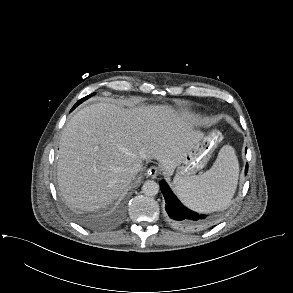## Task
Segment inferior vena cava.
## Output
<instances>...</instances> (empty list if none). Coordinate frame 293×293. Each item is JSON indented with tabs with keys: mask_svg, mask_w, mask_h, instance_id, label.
I'll list each match as a JSON object with an SVG mask.
<instances>
[{
	"mask_svg": "<svg viewBox=\"0 0 293 293\" xmlns=\"http://www.w3.org/2000/svg\"><path fill=\"white\" fill-rule=\"evenodd\" d=\"M143 169V164L141 162H136L130 167V172L136 175Z\"/></svg>",
	"mask_w": 293,
	"mask_h": 293,
	"instance_id": "602c4592",
	"label": "inferior vena cava"
}]
</instances>
